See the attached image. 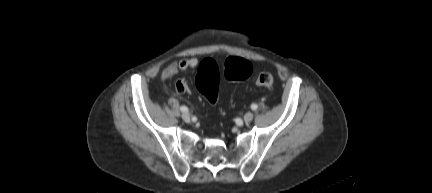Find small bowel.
<instances>
[{
  "label": "small bowel",
  "mask_w": 432,
  "mask_h": 193,
  "mask_svg": "<svg viewBox=\"0 0 432 193\" xmlns=\"http://www.w3.org/2000/svg\"><path fill=\"white\" fill-rule=\"evenodd\" d=\"M199 64V61L196 57L184 58L178 62V69L181 71H187L195 69ZM186 83L183 80H179L176 83V88L179 92H183L186 89Z\"/></svg>",
  "instance_id": "c3829d8e"
}]
</instances>
